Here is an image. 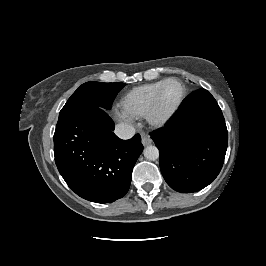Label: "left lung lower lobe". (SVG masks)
<instances>
[{"label": "left lung lower lobe", "instance_id": "left-lung-lower-lobe-1", "mask_svg": "<svg viewBox=\"0 0 266 266\" xmlns=\"http://www.w3.org/2000/svg\"><path fill=\"white\" fill-rule=\"evenodd\" d=\"M151 138L160 152L161 173L178 192L199 191L221 171L228 132L218 103L205 89L186 98L170 123Z\"/></svg>", "mask_w": 266, "mask_h": 266}]
</instances>
